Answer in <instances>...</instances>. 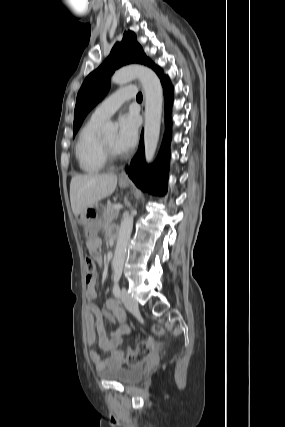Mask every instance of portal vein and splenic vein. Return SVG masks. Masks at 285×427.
<instances>
[{"label":"portal vein and splenic vein","mask_w":285,"mask_h":427,"mask_svg":"<svg viewBox=\"0 0 285 427\" xmlns=\"http://www.w3.org/2000/svg\"><path fill=\"white\" fill-rule=\"evenodd\" d=\"M123 206L121 204H115L114 205V209L115 210H120Z\"/></svg>","instance_id":"18ae733b"}]
</instances>
